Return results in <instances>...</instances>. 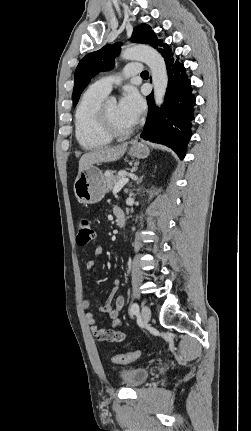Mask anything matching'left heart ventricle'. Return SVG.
<instances>
[{
    "mask_svg": "<svg viewBox=\"0 0 251 431\" xmlns=\"http://www.w3.org/2000/svg\"><path fill=\"white\" fill-rule=\"evenodd\" d=\"M107 110L112 123L119 129H127L133 124L128 118L122 113L119 108V104L116 101H109L107 104Z\"/></svg>",
    "mask_w": 251,
    "mask_h": 431,
    "instance_id": "1",
    "label": "left heart ventricle"
}]
</instances>
